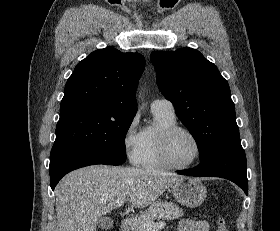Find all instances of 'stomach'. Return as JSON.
Wrapping results in <instances>:
<instances>
[{"instance_id":"stomach-1","label":"stomach","mask_w":280,"mask_h":231,"mask_svg":"<svg viewBox=\"0 0 280 231\" xmlns=\"http://www.w3.org/2000/svg\"><path fill=\"white\" fill-rule=\"evenodd\" d=\"M172 193L182 205L198 207L203 203L207 191L205 185L194 177H179L172 185Z\"/></svg>"}]
</instances>
